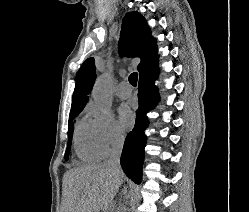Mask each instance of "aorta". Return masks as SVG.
Listing matches in <instances>:
<instances>
[{"instance_id": "obj_1", "label": "aorta", "mask_w": 249, "mask_h": 212, "mask_svg": "<svg viewBox=\"0 0 249 212\" xmlns=\"http://www.w3.org/2000/svg\"><path fill=\"white\" fill-rule=\"evenodd\" d=\"M112 80L109 75L104 74L97 78L92 96L94 102L104 113H107L112 106Z\"/></svg>"}]
</instances>
